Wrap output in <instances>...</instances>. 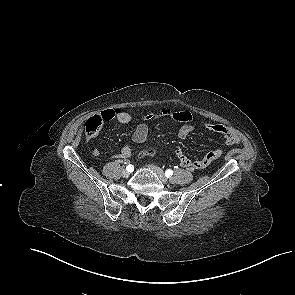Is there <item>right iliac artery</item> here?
Segmentation results:
<instances>
[{"instance_id": "right-iliac-artery-1", "label": "right iliac artery", "mask_w": 295, "mask_h": 295, "mask_svg": "<svg viewBox=\"0 0 295 295\" xmlns=\"http://www.w3.org/2000/svg\"><path fill=\"white\" fill-rule=\"evenodd\" d=\"M126 170H127L128 172H133V170H134L133 165L128 164V165L126 166Z\"/></svg>"}]
</instances>
